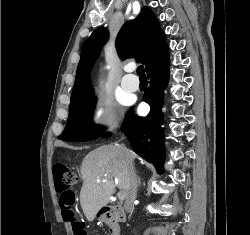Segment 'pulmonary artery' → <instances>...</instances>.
Masks as SVG:
<instances>
[{"label":"pulmonary artery","mask_w":250,"mask_h":235,"mask_svg":"<svg viewBox=\"0 0 250 235\" xmlns=\"http://www.w3.org/2000/svg\"><path fill=\"white\" fill-rule=\"evenodd\" d=\"M121 85H122L124 90H126L128 92H134L139 87V80L137 78L133 77V75L127 74L122 79Z\"/></svg>","instance_id":"obj_1"}]
</instances>
